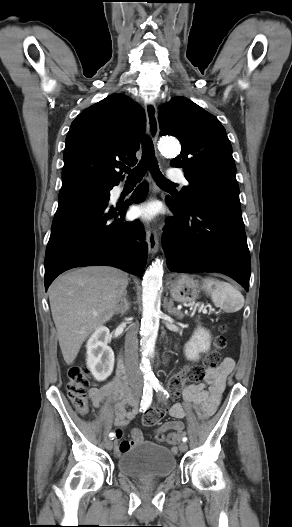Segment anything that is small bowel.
Listing matches in <instances>:
<instances>
[{
	"mask_svg": "<svg viewBox=\"0 0 292 527\" xmlns=\"http://www.w3.org/2000/svg\"><path fill=\"white\" fill-rule=\"evenodd\" d=\"M234 362L231 358H225L218 368L209 369L205 375V384L185 385L182 389L183 403H175L169 409V414L174 418L173 421L160 425L155 430L156 440L162 442L167 434V441L176 445L180 434L183 433L184 418L188 408L194 406L200 413L202 419L213 415L217 410L223 391L225 389L226 378L231 373ZM89 397L95 407H99L103 402H110L114 405L115 426L117 427L116 436L121 438L122 429L135 417L138 412V402L133 399L127 384L118 376L101 387L93 388L89 392ZM142 432L134 429L132 440L121 441L116 447V453L121 454L133 445L142 441Z\"/></svg>",
	"mask_w": 292,
	"mask_h": 527,
	"instance_id": "c3829d8e",
	"label": "small bowel"
}]
</instances>
